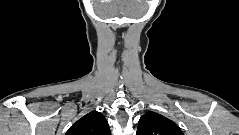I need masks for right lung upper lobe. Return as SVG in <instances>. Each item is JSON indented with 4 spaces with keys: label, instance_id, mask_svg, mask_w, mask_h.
Wrapping results in <instances>:
<instances>
[{
    "label": "right lung upper lobe",
    "instance_id": "right-lung-upper-lobe-1",
    "mask_svg": "<svg viewBox=\"0 0 239 135\" xmlns=\"http://www.w3.org/2000/svg\"><path fill=\"white\" fill-rule=\"evenodd\" d=\"M66 135H111V132L104 115L92 111L75 122Z\"/></svg>",
    "mask_w": 239,
    "mask_h": 135
}]
</instances>
